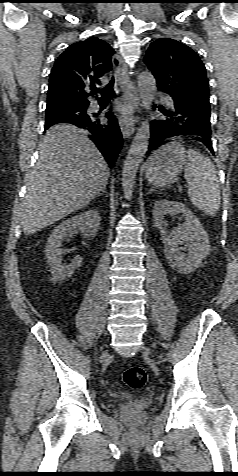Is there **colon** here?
<instances>
[{
    "label": "colon",
    "mask_w": 238,
    "mask_h": 476,
    "mask_svg": "<svg viewBox=\"0 0 238 476\" xmlns=\"http://www.w3.org/2000/svg\"><path fill=\"white\" fill-rule=\"evenodd\" d=\"M123 380L129 388L140 389L147 382V374L143 368L133 366L124 372Z\"/></svg>",
    "instance_id": "obj_1"
}]
</instances>
